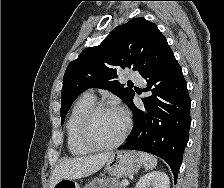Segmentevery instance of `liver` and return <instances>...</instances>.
Returning a JSON list of instances; mask_svg holds the SVG:
<instances>
[{
    "label": "liver",
    "mask_w": 224,
    "mask_h": 188,
    "mask_svg": "<svg viewBox=\"0 0 224 188\" xmlns=\"http://www.w3.org/2000/svg\"><path fill=\"white\" fill-rule=\"evenodd\" d=\"M112 152L80 156L61 161L52 172L50 188L62 179H79L100 170L109 160Z\"/></svg>",
    "instance_id": "6515ba94"
}]
</instances>
